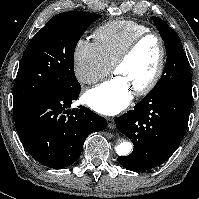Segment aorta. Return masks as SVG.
I'll list each match as a JSON object with an SVG mask.
<instances>
[{"mask_svg":"<svg viewBox=\"0 0 199 199\" xmlns=\"http://www.w3.org/2000/svg\"><path fill=\"white\" fill-rule=\"evenodd\" d=\"M132 144L129 141L120 140L116 147V153L120 156H126L131 152Z\"/></svg>","mask_w":199,"mask_h":199,"instance_id":"obj_1","label":"aorta"}]
</instances>
